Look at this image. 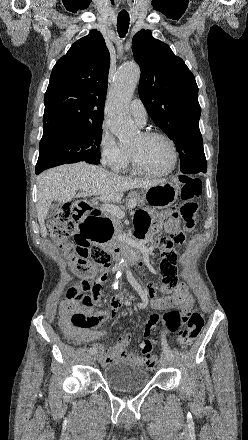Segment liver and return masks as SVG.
Segmentation results:
<instances>
[{"label":"liver","mask_w":248,"mask_h":440,"mask_svg":"<svg viewBox=\"0 0 248 440\" xmlns=\"http://www.w3.org/2000/svg\"><path fill=\"white\" fill-rule=\"evenodd\" d=\"M164 180H144L122 177L106 169L85 162L65 164L48 169L38 176L36 211L42 237L47 236L45 218L53 201L66 203L76 191L89 186L85 196L99 195L102 200L118 203L127 190L149 188Z\"/></svg>","instance_id":"liver-1"}]
</instances>
